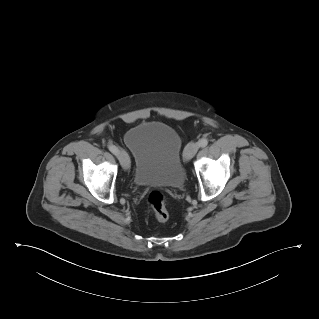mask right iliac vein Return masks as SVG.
Instances as JSON below:
<instances>
[{
    "mask_svg": "<svg viewBox=\"0 0 319 319\" xmlns=\"http://www.w3.org/2000/svg\"><path fill=\"white\" fill-rule=\"evenodd\" d=\"M117 157H118L123 169L128 170L130 167V161H129L128 154L123 149H119Z\"/></svg>",
    "mask_w": 319,
    "mask_h": 319,
    "instance_id": "1",
    "label": "right iliac vein"
}]
</instances>
